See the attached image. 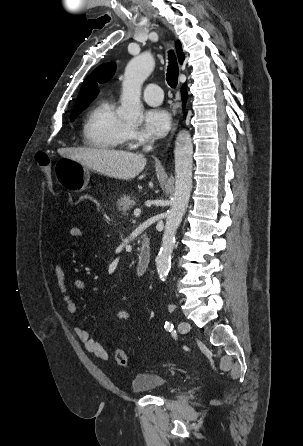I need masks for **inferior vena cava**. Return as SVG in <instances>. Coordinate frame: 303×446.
Instances as JSON below:
<instances>
[{"mask_svg": "<svg viewBox=\"0 0 303 446\" xmlns=\"http://www.w3.org/2000/svg\"><path fill=\"white\" fill-rule=\"evenodd\" d=\"M151 149H152V146H151V145H149V146H147L146 148H144L145 151H149V150H151Z\"/></svg>", "mask_w": 303, "mask_h": 446, "instance_id": "1", "label": "inferior vena cava"}]
</instances>
